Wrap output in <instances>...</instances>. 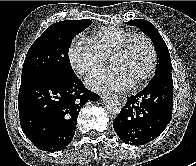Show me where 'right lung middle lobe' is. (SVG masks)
Wrapping results in <instances>:
<instances>
[{"instance_id":"1","label":"right lung middle lobe","mask_w":196,"mask_h":166,"mask_svg":"<svg viewBox=\"0 0 196 166\" xmlns=\"http://www.w3.org/2000/svg\"><path fill=\"white\" fill-rule=\"evenodd\" d=\"M91 20H65L52 24L27 52L22 77L50 73L65 78L75 76L68 58L71 40L91 25Z\"/></svg>"}]
</instances>
